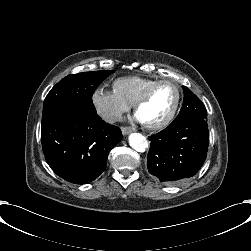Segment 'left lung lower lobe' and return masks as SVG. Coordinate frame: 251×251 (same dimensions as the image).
I'll list each match as a JSON object with an SVG mask.
<instances>
[{
    "instance_id": "left-lung-lower-lobe-1",
    "label": "left lung lower lobe",
    "mask_w": 251,
    "mask_h": 251,
    "mask_svg": "<svg viewBox=\"0 0 251 251\" xmlns=\"http://www.w3.org/2000/svg\"><path fill=\"white\" fill-rule=\"evenodd\" d=\"M149 140V173L163 183L175 184L194 176L202 167L209 144L207 122L188 119L170 124Z\"/></svg>"
}]
</instances>
